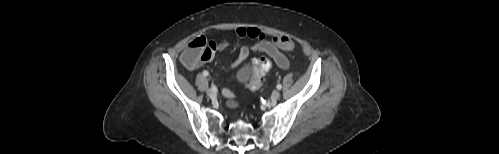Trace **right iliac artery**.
I'll return each mask as SVG.
<instances>
[{"instance_id":"right-iliac-artery-1","label":"right iliac artery","mask_w":499,"mask_h":154,"mask_svg":"<svg viewBox=\"0 0 499 154\" xmlns=\"http://www.w3.org/2000/svg\"><path fill=\"white\" fill-rule=\"evenodd\" d=\"M203 75H204V76H208V75H209L208 71H203ZM211 89H212V90H215V89H216V87H215V86H212V88H211Z\"/></svg>"}]
</instances>
